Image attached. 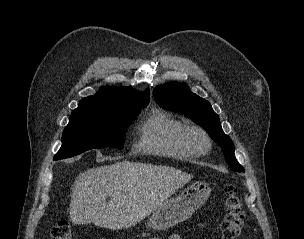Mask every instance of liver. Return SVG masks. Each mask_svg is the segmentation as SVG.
Listing matches in <instances>:
<instances>
[{"label": "liver", "instance_id": "6515ba94", "mask_svg": "<svg viewBox=\"0 0 304 239\" xmlns=\"http://www.w3.org/2000/svg\"><path fill=\"white\" fill-rule=\"evenodd\" d=\"M192 178L170 166L127 160L88 169L74 182L70 219L74 224L94 223L111 230L128 228L153 213Z\"/></svg>", "mask_w": 304, "mask_h": 239}]
</instances>
